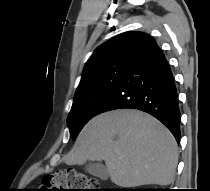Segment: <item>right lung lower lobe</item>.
<instances>
[{
	"label": "right lung lower lobe",
	"mask_w": 210,
	"mask_h": 191,
	"mask_svg": "<svg viewBox=\"0 0 210 191\" xmlns=\"http://www.w3.org/2000/svg\"><path fill=\"white\" fill-rule=\"evenodd\" d=\"M123 108L138 109L154 116L179 141L180 110L174 77L152 37L130 59L97 114Z\"/></svg>",
	"instance_id": "98d812e1"
}]
</instances>
